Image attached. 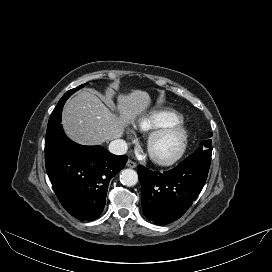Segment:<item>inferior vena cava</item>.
I'll return each mask as SVG.
<instances>
[{
  "label": "inferior vena cava",
  "mask_w": 272,
  "mask_h": 272,
  "mask_svg": "<svg viewBox=\"0 0 272 272\" xmlns=\"http://www.w3.org/2000/svg\"><path fill=\"white\" fill-rule=\"evenodd\" d=\"M128 150L126 141L122 139H116L110 142L109 151L115 155H124Z\"/></svg>",
  "instance_id": "602c4592"
}]
</instances>
